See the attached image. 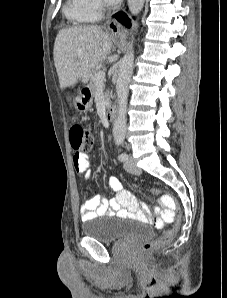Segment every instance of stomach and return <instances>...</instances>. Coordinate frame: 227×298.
I'll return each instance as SVG.
<instances>
[{"instance_id": "stomach-1", "label": "stomach", "mask_w": 227, "mask_h": 298, "mask_svg": "<svg viewBox=\"0 0 227 298\" xmlns=\"http://www.w3.org/2000/svg\"><path fill=\"white\" fill-rule=\"evenodd\" d=\"M93 103V94L87 87L83 88L74 99V107L79 113L88 112Z\"/></svg>"}]
</instances>
